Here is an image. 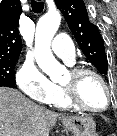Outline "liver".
I'll return each mask as SVG.
<instances>
[{"mask_svg": "<svg viewBox=\"0 0 117 136\" xmlns=\"http://www.w3.org/2000/svg\"><path fill=\"white\" fill-rule=\"evenodd\" d=\"M58 117L18 90L0 87V136H49Z\"/></svg>", "mask_w": 117, "mask_h": 136, "instance_id": "6515ba94", "label": "liver"}]
</instances>
